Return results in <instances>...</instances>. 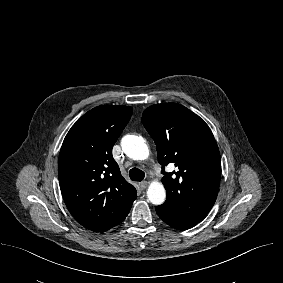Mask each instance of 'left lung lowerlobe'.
Listing matches in <instances>:
<instances>
[{"mask_svg": "<svg viewBox=\"0 0 283 283\" xmlns=\"http://www.w3.org/2000/svg\"><path fill=\"white\" fill-rule=\"evenodd\" d=\"M156 212L158 214V216L168 225H170L173 228L179 229V230H186L189 229L193 226H195L196 222H190V221H185L182 219H178L175 218L173 216H168L164 213H162L161 211L158 210V208L156 207Z\"/></svg>", "mask_w": 283, "mask_h": 283, "instance_id": "obj_1", "label": "left lung lower lobe"}]
</instances>
